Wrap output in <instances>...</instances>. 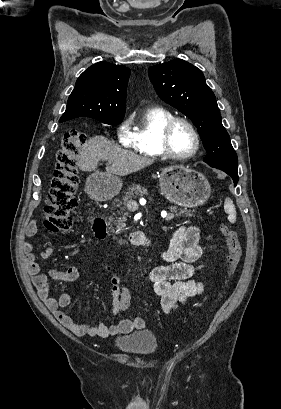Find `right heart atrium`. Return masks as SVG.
I'll return each instance as SVG.
<instances>
[{
	"label": "right heart atrium",
	"mask_w": 281,
	"mask_h": 409,
	"mask_svg": "<svg viewBox=\"0 0 281 409\" xmlns=\"http://www.w3.org/2000/svg\"><path fill=\"white\" fill-rule=\"evenodd\" d=\"M130 122L131 119H125L116 128L117 139L124 146H128L131 140Z\"/></svg>",
	"instance_id": "1"
}]
</instances>
